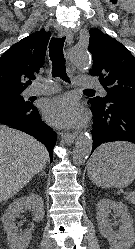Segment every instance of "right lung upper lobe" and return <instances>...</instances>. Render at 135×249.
<instances>
[{"label":"right lung upper lobe","mask_w":135,"mask_h":249,"mask_svg":"<svg viewBox=\"0 0 135 249\" xmlns=\"http://www.w3.org/2000/svg\"><path fill=\"white\" fill-rule=\"evenodd\" d=\"M51 33L41 29L12 45L0 57V92L23 91L43 66Z\"/></svg>","instance_id":"obj_1"}]
</instances>
